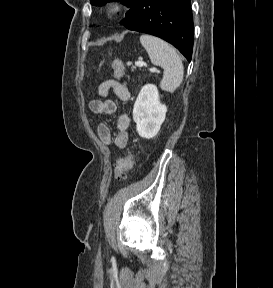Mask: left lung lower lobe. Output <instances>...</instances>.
<instances>
[{
    "mask_svg": "<svg viewBox=\"0 0 273 288\" xmlns=\"http://www.w3.org/2000/svg\"><path fill=\"white\" fill-rule=\"evenodd\" d=\"M121 24L164 39L191 61L194 31L190 0H135Z\"/></svg>",
    "mask_w": 273,
    "mask_h": 288,
    "instance_id": "left-lung-lower-lobe-1",
    "label": "left lung lower lobe"
}]
</instances>
